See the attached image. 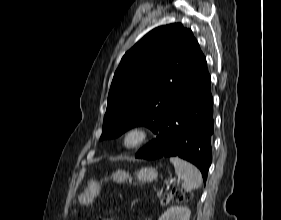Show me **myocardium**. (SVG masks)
Here are the masks:
<instances>
[{
	"label": "myocardium",
	"instance_id": "myocardium-1",
	"mask_svg": "<svg viewBox=\"0 0 281 220\" xmlns=\"http://www.w3.org/2000/svg\"><path fill=\"white\" fill-rule=\"evenodd\" d=\"M149 139V130L143 125L136 124L124 129L119 136L118 142L121 149L133 151L144 146Z\"/></svg>",
	"mask_w": 281,
	"mask_h": 220
}]
</instances>
